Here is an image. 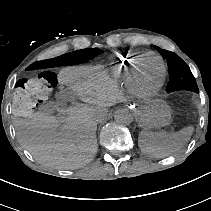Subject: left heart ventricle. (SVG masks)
I'll return each mask as SVG.
<instances>
[{"instance_id": "obj_1", "label": "left heart ventricle", "mask_w": 211, "mask_h": 211, "mask_svg": "<svg viewBox=\"0 0 211 211\" xmlns=\"http://www.w3.org/2000/svg\"><path fill=\"white\" fill-rule=\"evenodd\" d=\"M150 70L147 77H145L148 85H154L158 79L160 74V65L155 59H151L149 61Z\"/></svg>"}]
</instances>
